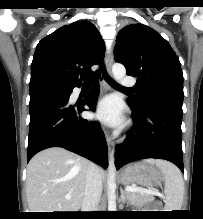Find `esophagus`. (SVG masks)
I'll use <instances>...</instances> for the list:
<instances>
[{
    "mask_svg": "<svg viewBox=\"0 0 203 219\" xmlns=\"http://www.w3.org/2000/svg\"><path fill=\"white\" fill-rule=\"evenodd\" d=\"M105 64H106V73L108 76H111L112 72H111V68H112V64H113V53L112 50H109L106 54L105 57ZM103 82L105 83V80H103ZM105 137H106V141L108 144V149L110 154L113 152L114 150V142L112 140V137L110 135V133L105 130Z\"/></svg>",
    "mask_w": 203,
    "mask_h": 219,
    "instance_id": "1",
    "label": "esophagus"
}]
</instances>
